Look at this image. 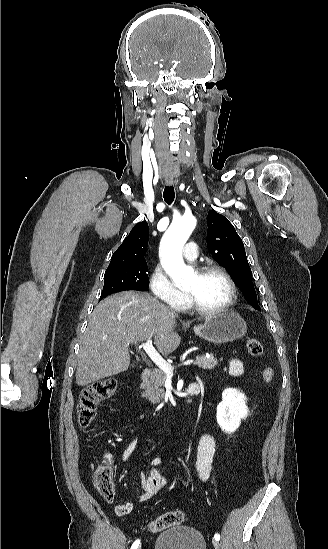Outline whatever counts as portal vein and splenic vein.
<instances>
[{"label":"portal vein and splenic vein","instance_id":"1","mask_svg":"<svg viewBox=\"0 0 328 549\" xmlns=\"http://www.w3.org/2000/svg\"><path fill=\"white\" fill-rule=\"evenodd\" d=\"M140 349H144L148 357H150L153 363H155V365H157L159 369H162L164 373H173L174 367H171L170 363H167V361H164L161 355L157 353L156 349H154L152 345L151 339H147L146 343H142V345H140ZM186 364H194V358L188 359V361H186Z\"/></svg>","mask_w":328,"mask_h":549}]
</instances>
